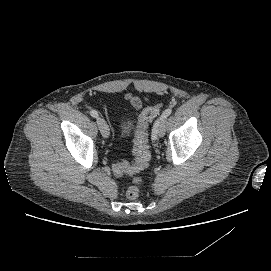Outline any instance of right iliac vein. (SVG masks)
I'll use <instances>...</instances> for the list:
<instances>
[{
	"instance_id": "1",
	"label": "right iliac vein",
	"mask_w": 271,
	"mask_h": 271,
	"mask_svg": "<svg viewBox=\"0 0 271 271\" xmlns=\"http://www.w3.org/2000/svg\"><path fill=\"white\" fill-rule=\"evenodd\" d=\"M97 125L99 127V130L104 138H107L110 134L109 127L106 123V121L103 118L98 117L97 118Z\"/></svg>"
}]
</instances>
